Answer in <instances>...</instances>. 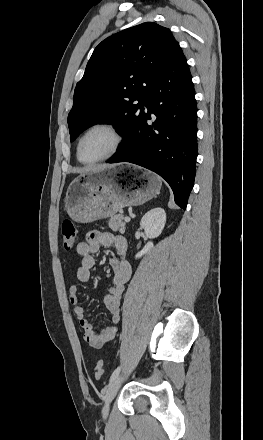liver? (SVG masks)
Here are the masks:
<instances>
[{
  "instance_id": "1",
  "label": "liver",
  "mask_w": 263,
  "mask_h": 440,
  "mask_svg": "<svg viewBox=\"0 0 263 440\" xmlns=\"http://www.w3.org/2000/svg\"><path fill=\"white\" fill-rule=\"evenodd\" d=\"M104 167H110V166H108V165H103V166H99V167H97L96 169H101V168H104Z\"/></svg>"
}]
</instances>
